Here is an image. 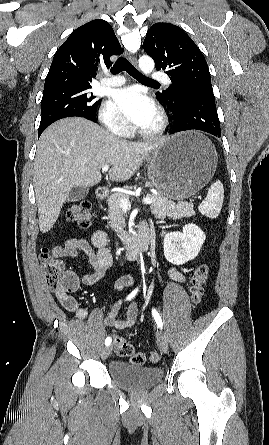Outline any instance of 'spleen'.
Instances as JSON below:
<instances>
[{
    "label": "spleen",
    "instance_id": "spleen-1",
    "mask_svg": "<svg viewBox=\"0 0 269 445\" xmlns=\"http://www.w3.org/2000/svg\"><path fill=\"white\" fill-rule=\"evenodd\" d=\"M223 199H224L223 184L220 180H217L208 189L207 196L205 200L199 204L198 210L201 214L211 219H215L219 216V213L223 205Z\"/></svg>",
    "mask_w": 269,
    "mask_h": 445
}]
</instances>
